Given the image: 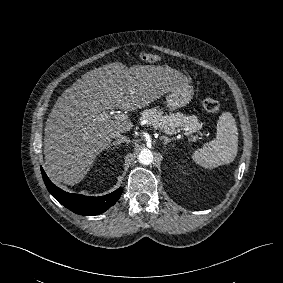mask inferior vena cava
<instances>
[{
	"label": "inferior vena cava",
	"instance_id": "1",
	"mask_svg": "<svg viewBox=\"0 0 283 283\" xmlns=\"http://www.w3.org/2000/svg\"><path fill=\"white\" fill-rule=\"evenodd\" d=\"M118 141L121 142H126V143H130V139L124 135H121L120 133L115 134L114 136Z\"/></svg>",
	"mask_w": 283,
	"mask_h": 283
}]
</instances>
